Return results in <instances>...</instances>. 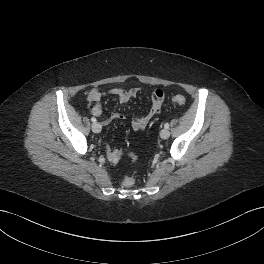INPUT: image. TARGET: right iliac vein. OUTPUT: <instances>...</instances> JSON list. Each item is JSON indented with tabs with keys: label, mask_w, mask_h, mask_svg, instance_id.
<instances>
[{
	"label": "right iliac vein",
	"mask_w": 264,
	"mask_h": 264,
	"mask_svg": "<svg viewBox=\"0 0 264 264\" xmlns=\"http://www.w3.org/2000/svg\"><path fill=\"white\" fill-rule=\"evenodd\" d=\"M102 127L99 123L95 122L92 124V131L94 133H99L101 131Z\"/></svg>",
	"instance_id": "obj_1"
}]
</instances>
